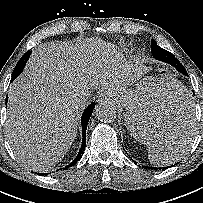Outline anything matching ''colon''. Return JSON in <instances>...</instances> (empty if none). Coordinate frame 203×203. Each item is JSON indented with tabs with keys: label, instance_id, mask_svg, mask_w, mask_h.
I'll return each instance as SVG.
<instances>
[{
	"label": "colon",
	"instance_id": "1",
	"mask_svg": "<svg viewBox=\"0 0 203 203\" xmlns=\"http://www.w3.org/2000/svg\"><path fill=\"white\" fill-rule=\"evenodd\" d=\"M166 73V70L164 69V68H162L161 70H160V74L161 75H164Z\"/></svg>",
	"mask_w": 203,
	"mask_h": 203
}]
</instances>
